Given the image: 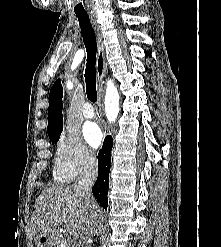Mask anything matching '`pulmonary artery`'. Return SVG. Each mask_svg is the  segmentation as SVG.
Masks as SVG:
<instances>
[{
    "label": "pulmonary artery",
    "instance_id": "pulmonary-artery-1",
    "mask_svg": "<svg viewBox=\"0 0 221 247\" xmlns=\"http://www.w3.org/2000/svg\"><path fill=\"white\" fill-rule=\"evenodd\" d=\"M82 113L85 118H92L95 115L94 109L89 103L84 104Z\"/></svg>",
    "mask_w": 221,
    "mask_h": 247
}]
</instances>
